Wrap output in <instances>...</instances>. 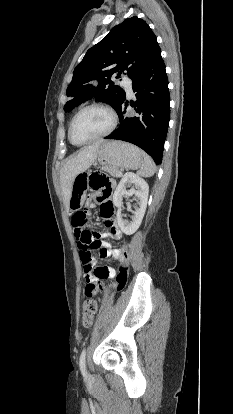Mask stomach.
Wrapping results in <instances>:
<instances>
[{
  "mask_svg": "<svg viewBox=\"0 0 233 414\" xmlns=\"http://www.w3.org/2000/svg\"><path fill=\"white\" fill-rule=\"evenodd\" d=\"M97 160L107 170L120 169H137L143 164V152L134 145L121 141L103 142L99 148ZM72 184L70 204L71 209H76L83 204L85 189L87 187L86 180L88 174L86 170H81L75 174Z\"/></svg>",
  "mask_w": 233,
  "mask_h": 414,
  "instance_id": "1",
  "label": "stomach"
}]
</instances>
